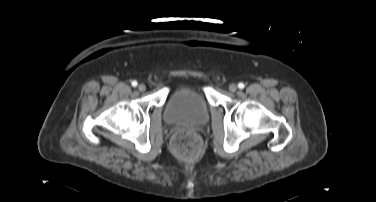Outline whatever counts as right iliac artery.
<instances>
[{"mask_svg":"<svg viewBox=\"0 0 376 202\" xmlns=\"http://www.w3.org/2000/svg\"><path fill=\"white\" fill-rule=\"evenodd\" d=\"M131 84H132L133 87H136L138 83H137V81L134 80V81H132Z\"/></svg>","mask_w":376,"mask_h":202,"instance_id":"82829eb1","label":"right iliac artery"}]
</instances>
